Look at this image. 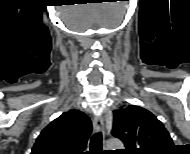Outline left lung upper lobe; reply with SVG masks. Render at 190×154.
<instances>
[{"mask_svg": "<svg viewBox=\"0 0 190 154\" xmlns=\"http://www.w3.org/2000/svg\"><path fill=\"white\" fill-rule=\"evenodd\" d=\"M111 134L124 143L125 154H157L173 147V141L151 112L135 105L119 108L114 112Z\"/></svg>", "mask_w": 190, "mask_h": 154, "instance_id": "obj_1", "label": "left lung upper lobe"}]
</instances>
